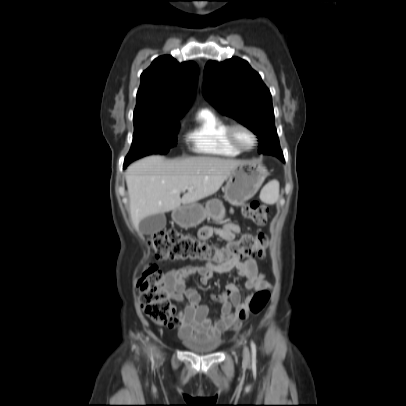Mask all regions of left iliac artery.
<instances>
[{
	"mask_svg": "<svg viewBox=\"0 0 406 406\" xmlns=\"http://www.w3.org/2000/svg\"><path fill=\"white\" fill-rule=\"evenodd\" d=\"M251 349H252V360L255 362L256 360V346L255 343L251 342Z\"/></svg>",
	"mask_w": 406,
	"mask_h": 406,
	"instance_id": "left-iliac-artery-1",
	"label": "left iliac artery"
}]
</instances>
